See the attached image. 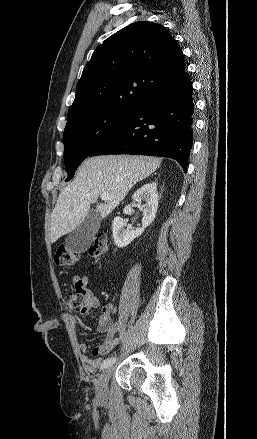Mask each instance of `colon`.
<instances>
[{
  "mask_svg": "<svg viewBox=\"0 0 257 439\" xmlns=\"http://www.w3.org/2000/svg\"><path fill=\"white\" fill-rule=\"evenodd\" d=\"M108 250L107 238L105 234L100 233L89 249V255L94 259L102 258ZM77 260V253L73 250L60 246L54 255V261L59 266L72 265ZM86 292L83 288H75L74 292H68L65 295V303L69 309L82 312L84 309Z\"/></svg>",
  "mask_w": 257,
  "mask_h": 439,
  "instance_id": "colon-1",
  "label": "colon"
}]
</instances>
